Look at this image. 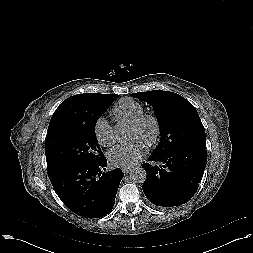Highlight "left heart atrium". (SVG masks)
<instances>
[{
    "label": "left heart atrium",
    "instance_id": "left-heart-atrium-1",
    "mask_svg": "<svg viewBox=\"0 0 253 253\" xmlns=\"http://www.w3.org/2000/svg\"><path fill=\"white\" fill-rule=\"evenodd\" d=\"M145 143L140 139H133L127 143L115 145L108 153V159L114 166H132L145 154Z\"/></svg>",
    "mask_w": 253,
    "mask_h": 253
}]
</instances>
